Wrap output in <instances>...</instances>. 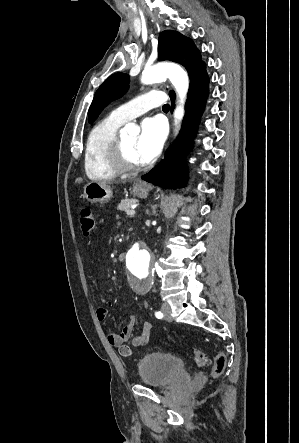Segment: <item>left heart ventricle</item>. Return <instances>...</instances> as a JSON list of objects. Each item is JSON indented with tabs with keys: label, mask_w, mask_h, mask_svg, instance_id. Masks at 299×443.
I'll use <instances>...</instances> for the list:
<instances>
[{
	"label": "left heart ventricle",
	"mask_w": 299,
	"mask_h": 443,
	"mask_svg": "<svg viewBox=\"0 0 299 443\" xmlns=\"http://www.w3.org/2000/svg\"><path fill=\"white\" fill-rule=\"evenodd\" d=\"M138 135H130L122 138L123 148L128 161L131 164L140 165L142 164L137 155V141Z\"/></svg>",
	"instance_id": "1"
}]
</instances>
